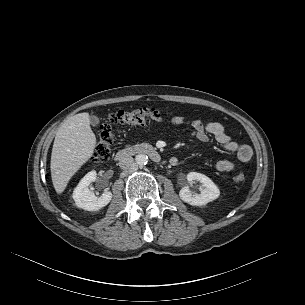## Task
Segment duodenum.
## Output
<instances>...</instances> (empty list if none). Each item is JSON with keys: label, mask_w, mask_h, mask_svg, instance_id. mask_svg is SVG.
<instances>
[{"label": "duodenum", "mask_w": 305, "mask_h": 305, "mask_svg": "<svg viewBox=\"0 0 305 305\" xmlns=\"http://www.w3.org/2000/svg\"><path fill=\"white\" fill-rule=\"evenodd\" d=\"M137 154H146L155 162L164 163V159L159 151L148 144H136L119 149L115 152L114 158L119 161L127 156H134Z\"/></svg>", "instance_id": "duodenum-1"}]
</instances>
